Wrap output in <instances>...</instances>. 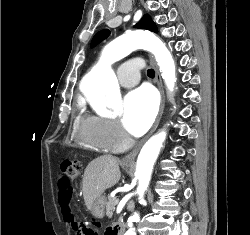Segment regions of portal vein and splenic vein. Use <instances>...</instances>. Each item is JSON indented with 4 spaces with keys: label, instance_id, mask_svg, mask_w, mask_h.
Segmentation results:
<instances>
[{
    "label": "portal vein and splenic vein",
    "instance_id": "portal-vein-and-splenic-vein-1",
    "mask_svg": "<svg viewBox=\"0 0 250 235\" xmlns=\"http://www.w3.org/2000/svg\"><path fill=\"white\" fill-rule=\"evenodd\" d=\"M115 202H116V204H118L119 203V199H117Z\"/></svg>",
    "mask_w": 250,
    "mask_h": 235
}]
</instances>
